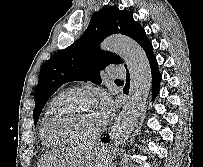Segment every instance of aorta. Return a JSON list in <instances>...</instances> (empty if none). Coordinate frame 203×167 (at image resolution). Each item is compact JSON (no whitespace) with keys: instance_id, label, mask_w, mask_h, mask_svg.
Returning a JSON list of instances; mask_svg holds the SVG:
<instances>
[{"instance_id":"obj_1","label":"aorta","mask_w":203,"mask_h":167,"mask_svg":"<svg viewBox=\"0 0 203 167\" xmlns=\"http://www.w3.org/2000/svg\"><path fill=\"white\" fill-rule=\"evenodd\" d=\"M102 48L125 61L131 78L128 99L110 132L111 142L118 146L128 140L137 126L149 95L152 74L146 53L133 39L113 35L104 40Z\"/></svg>"}]
</instances>
